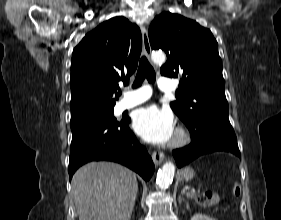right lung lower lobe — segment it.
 <instances>
[{"instance_id":"98d812e1","label":"right lung lower lobe","mask_w":281,"mask_h":220,"mask_svg":"<svg viewBox=\"0 0 281 220\" xmlns=\"http://www.w3.org/2000/svg\"><path fill=\"white\" fill-rule=\"evenodd\" d=\"M130 121L125 118L118 124L100 122L72 130L70 180L83 164L105 160L121 163L148 181L154 172V164L129 129Z\"/></svg>"}]
</instances>
